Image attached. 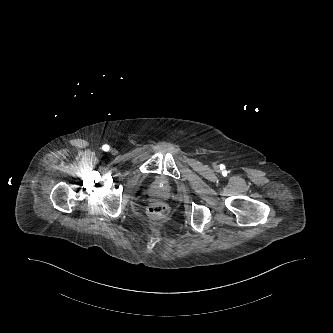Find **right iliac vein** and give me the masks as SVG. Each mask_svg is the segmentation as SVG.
Listing matches in <instances>:
<instances>
[{
  "instance_id": "1",
  "label": "right iliac vein",
  "mask_w": 333,
  "mask_h": 333,
  "mask_svg": "<svg viewBox=\"0 0 333 333\" xmlns=\"http://www.w3.org/2000/svg\"><path fill=\"white\" fill-rule=\"evenodd\" d=\"M117 149H115V148H112L111 150H110V153L112 154V155H116L117 154Z\"/></svg>"
}]
</instances>
